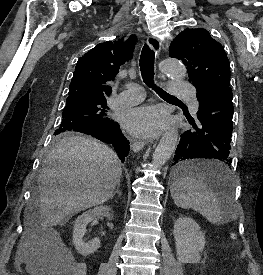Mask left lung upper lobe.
<instances>
[{
  "label": "left lung upper lobe",
  "instance_id": "1",
  "mask_svg": "<svg viewBox=\"0 0 263 275\" xmlns=\"http://www.w3.org/2000/svg\"><path fill=\"white\" fill-rule=\"evenodd\" d=\"M169 56L183 61L189 80L203 93L230 87V65L223 46L206 29H185L171 43Z\"/></svg>",
  "mask_w": 263,
  "mask_h": 275
}]
</instances>
